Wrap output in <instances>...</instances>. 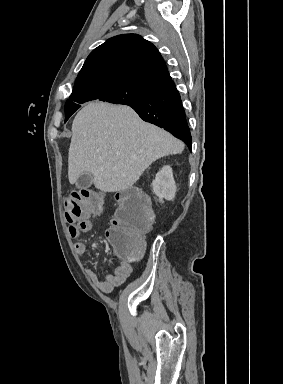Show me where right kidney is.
<instances>
[{
  "mask_svg": "<svg viewBox=\"0 0 283 384\" xmlns=\"http://www.w3.org/2000/svg\"><path fill=\"white\" fill-rule=\"evenodd\" d=\"M154 194L158 196L159 202L164 200H173L176 194V184L173 178L172 168L163 166L162 170L156 174L155 180L152 182Z\"/></svg>",
  "mask_w": 283,
  "mask_h": 384,
  "instance_id": "right-kidney-1",
  "label": "right kidney"
}]
</instances>
